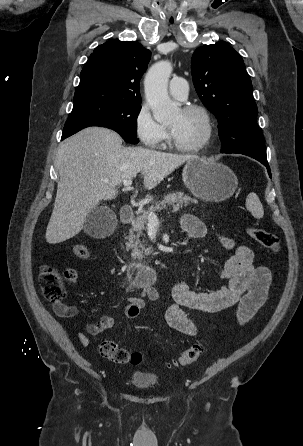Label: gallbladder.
<instances>
[{"label":"gallbladder","mask_w":303,"mask_h":446,"mask_svg":"<svg viewBox=\"0 0 303 446\" xmlns=\"http://www.w3.org/2000/svg\"><path fill=\"white\" fill-rule=\"evenodd\" d=\"M117 223L114 212L105 206L94 208L88 215L84 231L96 238L106 236L112 232Z\"/></svg>","instance_id":"bac80fb5"}]
</instances>
